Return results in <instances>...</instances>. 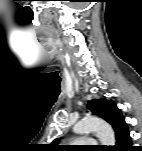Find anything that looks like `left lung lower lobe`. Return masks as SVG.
I'll use <instances>...</instances> for the list:
<instances>
[{
  "label": "left lung lower lobe",
  "mask_w": 142,
  "mask_h": 151,
  "mask_svg": "<svg viewBox=\"0 0 142 151\" xmlns=\"http://www.w3.org/2000/svg\"><path fill=\"white\" fill-rule=\"evenodd\" d=\"M112 148L113 151H134L128 128L116 137V145Z\"/></svg>",
  "instance_id": "1"
}]
</instances>
